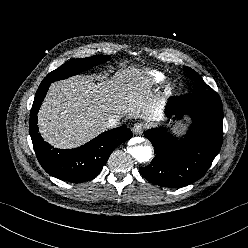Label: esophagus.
<instances>
[{
	"mask_svg": "<svg viewBox=\"0 0 248 248\" xmlns=\"http://www.w3.org/2000/svg\"><path fill=\"white\" fill-rule=\"evenodd\" d=\"M145 127L146 126L143 122H137L133 127L134 134L139 135L143 133V131L145 130Z\"/></svg>",
	"mask_w": 248,
	"mask_h": 248,
	"instance_id": "34e87169",
	"label": "esophagus"
}]
</instances>
